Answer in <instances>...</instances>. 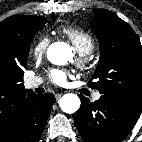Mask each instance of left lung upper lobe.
<instances>
[{
    "mask_svg": "<svg viewBox=\"0 0 142 142\" xmlns=\"http://www.w3.org/2000/svg\"><path fill=\"white\" fill-rule=\"evenodd\" d=\"M90 24L100 42L94 73L101 98L117 106L142 111V46L132 28L108 10H94Z\"/></svg>",
    "mask_w": 142,
    "mask_h": 142,
    "instance_id": "left-lung-upper-lobe-1",
    "label": "left lung upper lobe"
}]
</instances>
